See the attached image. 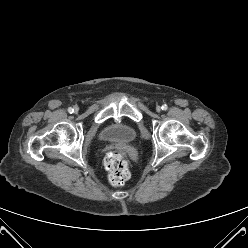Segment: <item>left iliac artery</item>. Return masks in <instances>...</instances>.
<instances>
[{
    "mask_svg": "<svg viewBox=\"0 0 248 248\" xmlns=\"http://www.w3.org/2000/svg\"><path fill=\"white\" fill-rule=\"evenodd\" d=\"M161 108H162V110H164V111H165V110H167V109H168V106H167L166 104H164V105H162V107H161Z\"/></svg>",
    "mask_w": 248,
    "mask_h": 248,
    "instance_id": "left-iliac-artery-1",
    "label": "left iliac artery"
}]
</instances>
